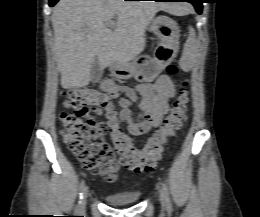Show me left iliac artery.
Masks as SVG:
<instances>
[{
    "label": "left iliac artery",
    "mask_w": 260,
    "mask_h": 217,
    "mask_svg": "<svg viewBox=\"0 0 260 217\" xmlns=\"http://www.w3.org/2000/svg\"><path fill=\"white\" fill-rule=\"evenodd\" d=\"M162 190H163L166 206L169 210H171L172 209V203H171L170 194H169V190H168L166 183H162Z\"/></svg>",
    "instance_id": "obj_1"
}]
</instances>
